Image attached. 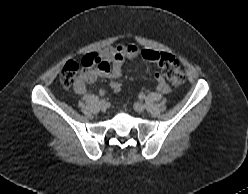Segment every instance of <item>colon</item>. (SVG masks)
Returning a JSON list of instances; mask_svg holds the SVG:
<instances>
[{
	"label": "colon",
	"mask_w": 248,
	"mask_h": 194,
	"mask_svg": "<svg viewBox=\"0 0 248 194\" xmlns=\"http://www.w3.org/2000/svg\"><path fill=\"white\" fill-rule=\"evenodd\" d=\"M93 54H88L82 58L80 62L76 61H68L63 66L61 71V84L65 88H69L76 84L81 77V68L90 66L94 63ZM154 61L158 65L161 70L164 78L169 80L173 85L179 86L185 81V72L181 68L179 61L177 58L168 53H156L154 55ZM122 87L119 82H112L111 88L114 91L120 90Z\"/></svg>",
	"instance_id": "1"
}]
</instances>
